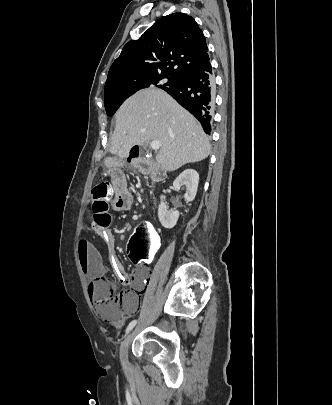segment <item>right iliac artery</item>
Listing matches in <instances>:
<instances>
[{
	"mask_svg": "<svg viewBox=\"0 0 332 405\" xmlns=\"http://www.w3.org/2000/svg\"><path fill=\"white\" fill-rule=\"evenodd\" d=\"M136 324H137V320L131 321V322L129 323V325L127 326V328H126V333H129V332L133 329V327H134Z\"/></svg>",
	"mask_w": 332,
	"mask_h": 405,
	"instance_id": "1",
	"label": "right iliac artery"
}]
</instances>
